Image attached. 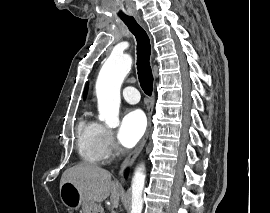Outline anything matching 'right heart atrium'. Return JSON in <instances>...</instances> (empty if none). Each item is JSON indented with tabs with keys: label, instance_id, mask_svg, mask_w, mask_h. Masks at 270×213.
<instances>
[{
	"label": "right heart atrium",
	"instance_id": "right-heart-atrium-1",
	"mask_svg": "<svg viewBox=\"0 0 270 213\" xmlns=\"http://www.w3.org/2000/svg\"><path fill=\"white\" fill-rule=\"evenodd\" d=\"M105 142L109 152H115L117 150L114 143L113 132L108 128H105Z\"/></svg>",
	"mask_w": 270,
	"mask_h": 213
}]
</instances>
